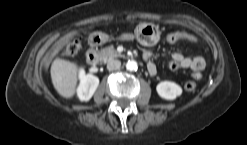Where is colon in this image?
I'll use <instances>...</instances> for the list:
<instances>
[{"label": "colon", "mask_w": 247, "mask_h": 145, "mask_svg": "<svg viewBox=\"0 0 247 145\" xmlns=\"http://www.w3.org/2000/svg\"><path fill=\"white\" fill-rule=\"evenodd\" d=\"M182 34L180 32L170 33L167 35L166 39L169 43H174L182 39ZM80 49V41L78 39L70 41L64 49V54L67 56H74L78 53ZM201 73L196 75V79L201 78ZM184 88L186 91H194L197 88L195 81H188L185 83Z\"/></svg>", "instance_id": "obj_1"}]
</instances>
